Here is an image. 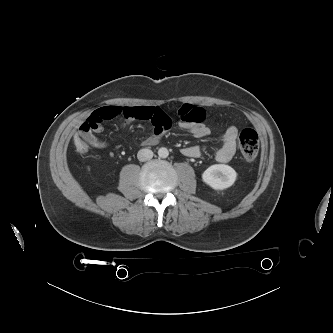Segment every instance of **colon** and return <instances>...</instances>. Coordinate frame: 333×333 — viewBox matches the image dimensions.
Returning a JSON list of instances; mask_svg holds the SVG:
<instances>
[{"label":"colon","mask_w":333,"mask_h":333,"mask_svg":"<svg viewBox=\"0 0 333 333\" xmlns=\"http://www.w3.org/2000/svg\"><path fill=\"white\" fill-rule=\"evenodd\" d=\"M74 146L79 153H85L88 149V142L82 138L76 136L74 138ZM239 148L243 157L247 161H253L259 151V138L255 130L251 128H245L239 135Z\"/></svg>","instance_id":"colon-1"}]
</instances>
